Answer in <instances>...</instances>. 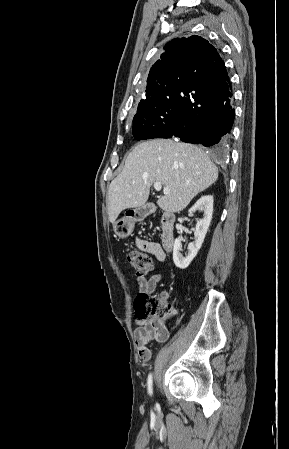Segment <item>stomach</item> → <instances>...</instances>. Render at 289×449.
Listing matches in <instances>:
<instances>
[{
  "instance_id": "stomach-1",
  "label": "stomach",
  "mask_w": 289,
  "mask_h": 449,
  "mask_svg": "<svg viewBox=\"0 0 289 449\" xmlns=\"http://www.w3.org/2000/svg\"><path fill=\"white\" fill-rule=\"evenodd\" d=\"M135 218L124 216L117 220L113 227L114 232L119 238H127L134 230Z\"/></svg>"
}]
</instances>
